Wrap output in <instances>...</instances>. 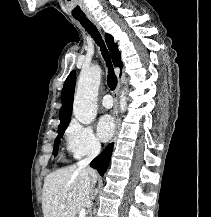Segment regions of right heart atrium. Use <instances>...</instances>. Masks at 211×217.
Here are the masks:
<instances>
[{
	"mask_svg": "<svg viewBox=\"0 0 211 217\" xmlns=\"http://www.w3.org/2000/svg\"><path fill=\"white\" fill-rule=\"evenodd\" d=\"M65 141L68 153L76 159L95 156L101 150V144L93 129L76 120L68 125Z\"/></svg>",
	"mask_w": 211,
	"mask_h": 217,
	"instance_id": "d8ad5b80",
	"label": "right heart atrium"
}]
</instances>
